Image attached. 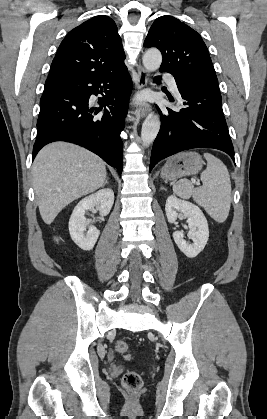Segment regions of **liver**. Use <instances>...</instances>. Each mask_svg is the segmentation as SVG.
<instances>
[{
  "mask_svg": "<svg viewBox=\"0 0 267 419\" xmlns=\"http://www.w3.org/2000/svg\"><path fill=\"white\" fill-rule=\"evenodd\" d=\"M32 175L40 215L49 225L69 203L103 186L106 167L85 148L54 142L39 151Z\"/></svg>",
  "mask_w": 267,
  "mask_h": 419,
  "instance_id": "obj_1",
  "label": "liver"
}]
</instances>
